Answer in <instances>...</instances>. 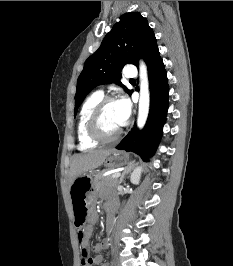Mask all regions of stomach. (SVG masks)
Listing matches in <instances>:
<instances>
[{"label":"stomach","mask_w":233,"mask_h":266,"mask_svg":"<svg viewBox=\"0 0 233 266\" xmlns=\"http://www.w3.org/2000/svg\"><path fill=\"white\" fill-rule=\"evenodd\" d=\"M129 156L122 152L113 150L105 159L104 166L110 169L124 166L128 163ZM93 171L79 176L70 187V194L73 207L74 228H87L89 220H86V212L89 208V201L95 198L93 185Z\"/></svg>","instance_id":"obj_1"}]
</instances>
